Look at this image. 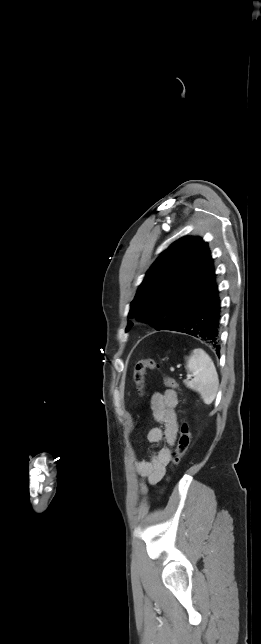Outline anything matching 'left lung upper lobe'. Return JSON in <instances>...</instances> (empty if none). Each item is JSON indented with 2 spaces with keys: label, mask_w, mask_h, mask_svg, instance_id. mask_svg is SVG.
I'll use <instances>...</instances> for the list:
<instances>
[{
  "label": "left lung upper lobe",
  "mask_w": 261,
  "mask_h": 644,
  "mask_svg": "<svg viewBox=\"0 0 261 644\" xmlns=\"http://www.w3.org/2000/svg\"><path fill=\"white\" fill-rule=\"evenodd\" d=\"M215 283L208 244L200 237H183L147 271L128 317L146 320L157 330L167 329L180 321ZM132 325L130 322L127 330Z\"/></svg>",
  "instance_id": "5c2ea615"
}]
</instances>
